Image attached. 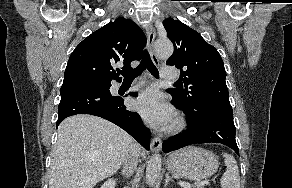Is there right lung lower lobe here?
<instances>
[{
  "label": "right lung lower lobe",
  "instance_id": "right-lung-lower-lobe-1",
  "mask_svg": "<svg viewBox=\"0 0 292 188\" xmlns=\"http://www.w3.org/2000/svg\"><path fill=\"white\" fill-rule=\"evenodd\" d=\"M110 86L98 88L78 82L63 83L56 127L69 116L91 114L118 125L149 150L150 132L142 123L140 115L126 109L123 95H111Z\"/></svg>",
  "mask_w": 292,
  "mask_h": 188
}]
</instances>
